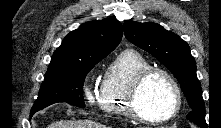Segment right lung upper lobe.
I'll use <instances>...</instances> for the list:
<instances>
[{
  "label": "right lung upper lobe",
  "instance_id": "right-lung-upper-lobe-1",
  "mask_svg": "<svg viewBox=\"0 0 221 128\" xmlns=\"http://www.w3.org/2000/svg\"><path fill=\"white\" fill-rule=\"evenodd\" d=\"M122 35V25L112 18L84 23L64 38L48 71L103 59L118 46Z\"/></svg>",
  "mask_w": 221,
  "mask_h": 128
}]
</instances>
